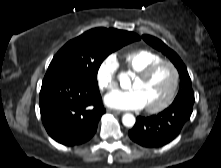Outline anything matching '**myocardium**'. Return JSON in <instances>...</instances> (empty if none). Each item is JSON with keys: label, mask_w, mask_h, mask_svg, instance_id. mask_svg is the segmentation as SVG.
I'll list each match as a JSON object with an SVG mask.
<instances>
[{"label": "myocardium", "mask_w": 221, "mask_h": 168, "mask_svg": "<svg viewBox=\"0 0 221 168\" xmlns=\"http://www.w3.org/2000/svg\"><path fill=\"white\" fill-rule=\"evenodd\" d=\"M163 65H167V66H169L172 69V72H173V84H172V87L170 89V92H169L168 96L166 97V99L163 102H161L160 104H158L156 106H145L146 111L149 112V113L161 112V111H163L164 109H166L167 107H169L171 105V103L175 99V96L177 94V91H178V88H179V84H180V72H179V69L176 66V64L173 63L170 60H161V61H158V62L148 66L147 68H145L141 72L137 73V75H136V77L139 78L140 80H146L158 68H160Z\"/></svg>", "instance_id": "myocardium-1"}]
</instances>
